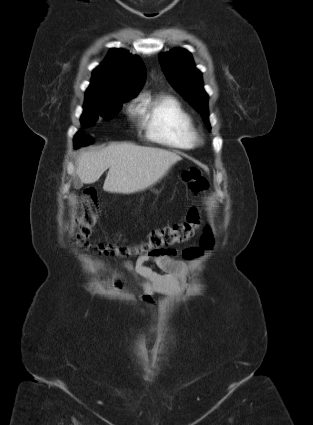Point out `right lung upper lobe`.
I'll use <instances>...</instances> for the list:
<instances>
[{
	"instance_id": "right-lung-upper-lobe-1",
	"label": "right lung upper lobe",
	"mask_w": 313,
	"mask_h": 425,
	"mask_svg": "<svg viewBox=\"0 0 313 425\" xmlns=\"http://www.w3.org/2000/svg\"><path fill=\"white\" fill-rule=\"evenodd\" d=\"M146 78V68L138 56L124 49H111L104 62L94 69L85 102L111 95L135 97Z\"/></svg>"
}]
</instances>
